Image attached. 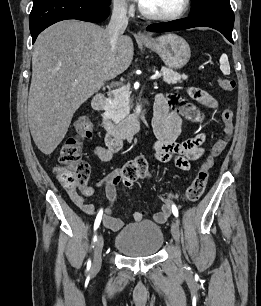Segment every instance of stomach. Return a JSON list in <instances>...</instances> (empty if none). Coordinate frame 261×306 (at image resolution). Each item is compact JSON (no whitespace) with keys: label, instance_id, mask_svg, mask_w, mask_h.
Listing matches in <instances>:
<instances>
[{"label":"stomach","instance_id":"0dacf381","mask_svg":"<svg viewBox=\"0 0 261 306\" xmlns=\"http://www.w3.org/2000/svg\"><path fill=\"white\" fill-rule=\"evenodd\" d=\"M142 43L156 52L170 69H181L191 57L190 47L186 40L174 33H167Z\"/></svg>","mask_w":261,"mask_h":306}]
</instances>
